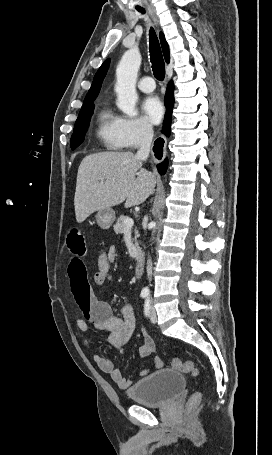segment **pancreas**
Returning a JSON list of instances; mask_svg holds the SVG:
<instances>
[{"mask_svg": "<svg viewBox=\"0 0 272 455\" xmlns=\"http://www.w3.org/2000/svg\"><path fill=\"white\" fill-rule=\"evenodd\" d=\"M126 218H127V216L122 215L117 219V222L114 225V231L116 234H122L125 231L124 221ZM138 236H139L138 231L135 230L134 241H135V247H137V248H138V242H137Z\"/></svg>", "mask_w": 272, "mask_h": 455, "instance_id": "pancreas-1", "label": "pancreas"}]
</instances>
